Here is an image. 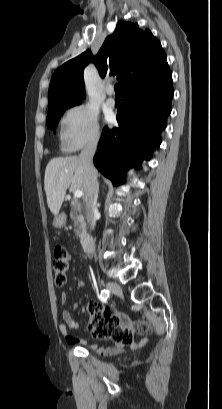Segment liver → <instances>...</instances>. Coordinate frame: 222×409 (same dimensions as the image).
Returning a JSON list of instances; mask_svg holds the SVG:
<instances>
[{"mask_svg":"<svg viewBox=\"0 0 222 409\" xmlns=\"http://www.w3.org/2000/svg\"><path fill=\"white\" fill-rule=\"evenodd\" d=\"M85 170L79 157H56L49 161L45 170L44 189L47 204L55 216L59 214L68 188H83Z\"/></svg>","mask_w":222,"mask_h":409,"instance_id":"1","label":"liver"}]
</instances>
